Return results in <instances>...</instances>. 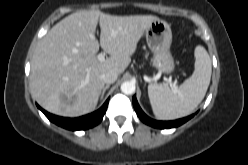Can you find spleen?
<instances>
[{"label": "spleen", "mask_w": 248, "mask_h": 165, "mask_svg": "<svg viewBox=\"0 0 248 165\" xmlns=\"http://www.w3.org/2000/svg\"><path fill=\"white\" fill-rule=\"evenodd\" d=\"M194 54L195 70L178 88L157 83L148 86L152 110L158 119L173 120L187 116L203 100L211 79V59L200 45L195 48Z\"/></svg>", "instance_id": "spleen-1"}]
</instances>
